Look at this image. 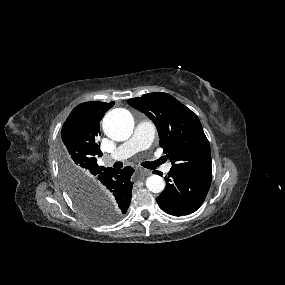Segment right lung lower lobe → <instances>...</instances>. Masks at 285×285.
I'll use <instances>...</instances> for the list:
<instances>
[{"label": "right lung lower lobe", "instance_id": "98d812e1", "mask_svg": "<svg viewBox=\"0 0 285 285\" xmlns=\"http://www.w3.org/2000/svg\"><path fill=\"white\" fill-rule=\"evenodd\" d=\"M133 171L130 166L122 170L109 168L87 185L122 216L127 212L131 202L133 184L130 178Z\"/></svg>", "mask_w": 285, "mask_h": 285}]
</instances>
